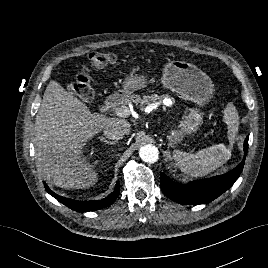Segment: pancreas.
I'll use <instances>...</instances> for the list:
<instances>
[{
    "instance_id": "pancreas-1",
    "label": "pancreas",
    "mask_w": 268,
    "mask_h": 268,
    "mask_svg": "<svg viewBox=\"0 0 268 268\" xmlns=\"http://www.w3.org/2000/svg\"><path fill=\"white\" fill-rule=\"evenodd\" d=\"M169 95H157V94H152V95H144L140 97L139 95H134L132 96V101L139 106L141 109L144 107V105H148L152 102H163L166 99H169ZM168 106H171V103H167Z\"/></svg>"
}]
</instances>
